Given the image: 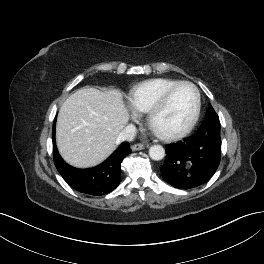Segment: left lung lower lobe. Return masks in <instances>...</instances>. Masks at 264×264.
Instances as JSON below:
<instances>
[{
	"mask_svg": "<svg viewBox=\"0 0 264 264\" xmlns=\"http://www.w3.org/2000/svg\"><path fill=\"white\" fill-rule=\"evenodd\" d=\"M160 168L166 182L179 189H190L207 182L221 159V135L218 126L202 124L182 142L167 146Z\"/></svg>",
	"mask_w": 264,
	"mask_h": 264,
	"instance_id": "left-lung-lower-lobe-1",
	"label": "left lung lower lobe"
}]
</instances>
